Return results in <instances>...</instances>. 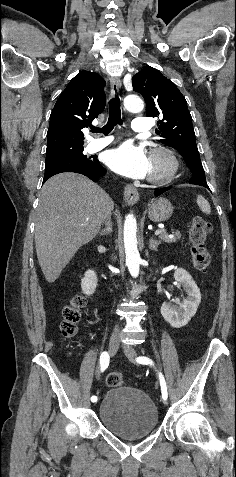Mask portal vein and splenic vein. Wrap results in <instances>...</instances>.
<instances>
[{
	"mask_svg": "<svg viewBox=\"0 0 236 477\" xmlns=\"http://www.w3.org/2000/svg\"><path fill=\"white\" fill-rule=\"evenodd\" d=\"M163 232H165L164 229H158V230L155 231V235L158 236V235L162 234Z\"/></svg>",
	"mask_w": 236,
	"mask_h": 477,
	"instance_id": "1",
	"label": "portal vein and splenic vein"
}]
</instances>
